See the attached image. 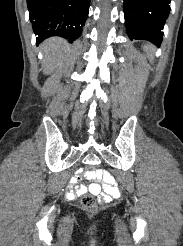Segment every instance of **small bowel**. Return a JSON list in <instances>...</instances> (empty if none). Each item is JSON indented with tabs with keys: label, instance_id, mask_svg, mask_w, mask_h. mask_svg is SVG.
<instances>
[{
	"label": "small bowel",
	"instance_id": "obj_1",
	"mask_svg": "<svg viewBox=\"0 0 183 246\" xmlns=\"http://www.w3.org/2000/svg\"><path fill=\"white\" fill-rule=\"evenodd\" d=\"M86 176L88 177V183H91L92 179H94L95 183H92L89 186L76 185L78 179H84V174H73V178L70 180V184H66L65 186L66 189H74L67 193V198H78L87 192L101 195L103 199L120 198V193L117 187L114 185L117 176L110 175V170H91V172H88ZM99 179H101V182L104 183H98Z\"/></svg>",
	"mask_w": 183,
	"mask_h": 246
}]
</instances>
